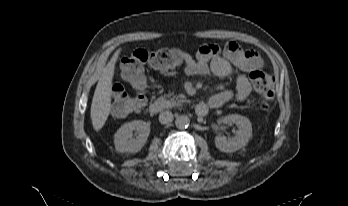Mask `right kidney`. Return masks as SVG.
Returning <instances> with one entry per match:
<instances>
[{
    "label": "right kidney",
    "instance_id": "1",
    "mask_svg": "<svg viewBox=\"0 0 348 206\" xmlns=\"http://www.w3.org/2000/svg\"><path fill=\"white\" fill-rule=\"evenodd\" d=\"M136 131V138L133 137ZM150 134V123L134 120L123 124L114 135V145L117 152L137 153L145 145Z\"/></svg>",
    "mask_w": 348,
    "mask_h": 206
}]
</instances>
